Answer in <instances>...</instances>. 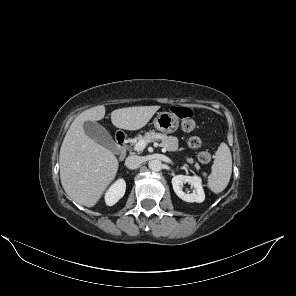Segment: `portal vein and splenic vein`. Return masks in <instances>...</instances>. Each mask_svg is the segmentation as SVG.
I'll return each instance as SVG.
<instances>
[{"label":"portal vein and splenic vein","mask_w":296,"mask_h":296,"mask_svg":"<svg viewBox=\"0 0 296 296\" xmlns=\"http://www.w3.org/2000/svg\"><path fill=\"white\" fill-rule=\"evenodd\" d=\"M146 145H147V143H146L145 141H139L138 143H136V144L134 145V149H135L136 151H143V150L145 149ZM162 152H166V149L163 148V149H162Z\"/></svg>","instance_id":"obj_1"}]
</instances>
